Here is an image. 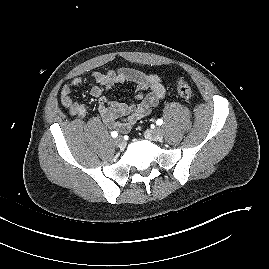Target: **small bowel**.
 <instances>
[{"instance_id":"c3829d8e","label":"small bowel","mask_w":269,"mask_h":269,"mask_svg":"<svg viewBox=\"0 0 269 269\" xmlns=\"http://www.w3.org/2000/svg\"><path fill=\"white\" fill-rule=\"evenodd\" d=\"M92 79L96 85L91 88L90 94L99 100L98 111L104 124L121 133H127L138 120L149 115L166 94L160 76L133 68L122 67L107 73L95 72ZM85 80L83 77H75L61 89V104L71 116L84 118L86 115L85 105L71 96L73 88ZM127 83L137 87L136 102L109 99L116 85Z\"/></svg>"}]
</instances>
